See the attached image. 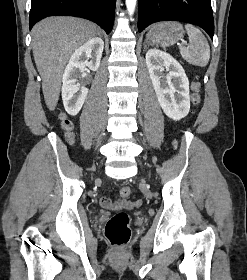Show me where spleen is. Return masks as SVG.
Returning a JSON list of instances; mask_svg holds the SVG:
<instances>
[{
  "label": "spleen",
  "instance_id": "obj_1",
  "mask_svg": "<svg viewBox=\"0 0 247 280\" xmlns=\"http://www.w3.org/2000/svg\"><path fill=\"white\" fill-rule=\"evenodd\" d=\"M189 37V46L181 47L180 54L188 63L204 67L210 59V47L202 32L191 24L185 25Z\"/></svg>",
  "mask_w": 247,
  "mask_h": 280
}]
</instances>
